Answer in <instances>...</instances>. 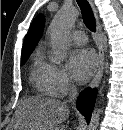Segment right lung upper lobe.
<instances>
[{
  "label": "right lung upper lobe",
  "mask_w": 123,
  "mask_h": 130,
  "mask_svg": "<svg viewBox=\"0 0 123 130\" xmlns=\"http://www.w3.org/2000/svg\"><path fill=\"white\" fill-rule=\"evenodd\" d=\"M44 16L38 15L32 22L23 44L22 56L30 55L40 40L44 30Z\"/></svg>",
  "instance_id": "cb5924a9"
}]
</instances>
